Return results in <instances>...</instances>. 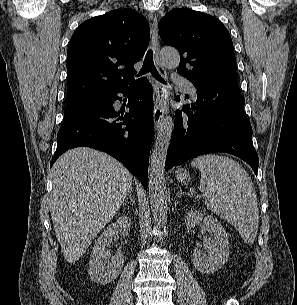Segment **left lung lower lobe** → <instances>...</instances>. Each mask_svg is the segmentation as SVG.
Here are the masks:
<instances>
[{"mask_svg":"<svg viewBox=\"0 0 297 305\" xmlns=\"http://www.w3.org/2000/svg\"><path fill=\"white\" fill-rule=\"evenodd\" d=\"M183 111L187 116L175 113L166 170L202 154L226 152L247 162L257 175L258 155L237 80L197 88V103L184 105Z\"/></svg>","mask_w":297,"mask_h":305,"instance_id":"0a47b994","label":"left lung lower lobe"}]
</instances>
